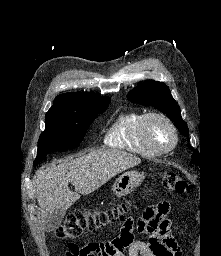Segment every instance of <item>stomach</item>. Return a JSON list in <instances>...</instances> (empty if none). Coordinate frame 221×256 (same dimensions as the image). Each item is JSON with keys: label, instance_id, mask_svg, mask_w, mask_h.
<instances>
[{"label": "stomach", "instance_id": "obj_1", "mask_svg": "<svg viewBox=\"0 0 221 256\" xmlns=\"http://www.w3.org/2000/svg\"><path fill=\"white\" fill-rule=\"evenodd\" d=\"M144 174L138 171H128L120 175L112 186L118 197H124L136 189L143 181Z\"/></svg>", "mask_w": 221, "mask_h": 256}]
</instances>
